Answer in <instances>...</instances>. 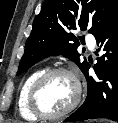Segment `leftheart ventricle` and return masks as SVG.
<instances>
[{"instance_id": "b2bd125f", "label": "left heart ventricle", "mask_w": 118, "mask_h": 123, "mask_svg": "<svg viewBox=\"0 0 118 123\" xmlns=\"http://www.w3.org/2000/svg\"><path fill=\"white\" fill-rule=\"evenodd\" d=\"M75 86L66 74H55L42 85L38 94V103L47 113L64 110L73 100Z\"/></svg>"}]
</instances>
